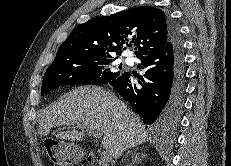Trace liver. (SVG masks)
<instances>
[{"mask_svg": "<svg viewBox=\"0 0 231 166\" xmlns=\"http://www.w3.org/2000/svg\"><path fill=\"white\" fill-rule=\"evenodd\" d=\"M76 124L79 129L57 134V138L80 141L92 132L103 133L102 145L118 159L129 148L146 140L149 134L140 118L123 101L101 87L81 86L46 107L39 121L38 134L48 136L53 127Z\"/></svg>", "mask_w": 231, "mask_h": 166, "instance_id": "6515ba94", "label": "liver"}]
</instances>
